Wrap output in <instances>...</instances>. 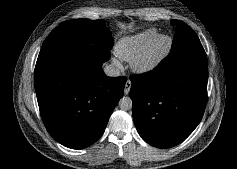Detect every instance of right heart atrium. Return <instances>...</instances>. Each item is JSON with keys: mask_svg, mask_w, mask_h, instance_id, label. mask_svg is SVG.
Listing matches in <instances>:
<instances>
[{"mask_svg": "<svg viewBox=\"0 0 237 169\" xmlns=\"http://www.w3.org/2000/svg\"><path fill=\"white\" fill-rule=\"evenodd\" d=\"M112 62L115 66H120L121 65V62L117 57H113Z\"/></svg>", "mask_w": 237, "mask_h": 169, "instance_id": "right-heart-atrium-1", "label": "right heart atrium"}]
</instances>
